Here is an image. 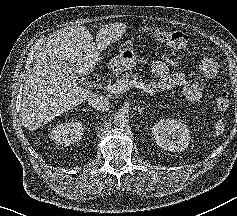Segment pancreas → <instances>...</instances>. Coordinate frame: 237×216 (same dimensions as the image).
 <instances>
[{
    "mask_svg": "<svg viewBox=\"0 0 237 216\" xmlns=\"http://www.w3.org/2000/svg\"><path fill=\"white\" fill-rule=\"evenodd\" d=\"M138 76L136 75V74H132V73H126V74H124L123 76H122V80H127V79H129V78H137ZM139 81L140 82H142L140 79H139ZM154 83H151V84H146V83H144V87L146 88V89H151L152 90V93H154V90H153V88H152V85H153Z\"/></svg>",
    "mask_w": 237,
    "mask_h": 216,
    "instance_id": "obj_1",
    "label": "pancreas"
}]
</instances>
